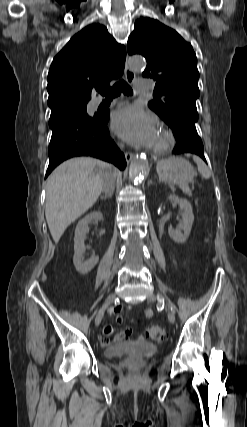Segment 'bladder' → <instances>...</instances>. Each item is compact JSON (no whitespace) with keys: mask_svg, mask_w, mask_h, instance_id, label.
Returning a JSON list of instances; mask_svg holds the SVG:
<instances>
[{"mask_svg":"<svg viewBox=\"0 0 247 427\" xmlns=\"http://www.w3.org/2000/svg\"><path fill=\"white\" fill-rule=\"evenodd\" d=\"M158 351V347L152 343L123 342L108 346L105 349V355L108 358H117L125 354L150 357L156 355Z\"/></svg>","mask_w":247,"mask_h":427,"instance_id":"1","label":"bladder"}]
</instances>
